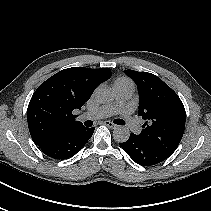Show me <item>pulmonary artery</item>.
Masks as SVG:
<instances>
[{"instance_id": "pulmonary-artery-1", "label": "pulmonary artery", "mask_w": 211, "mask_h": 211, "mask_svg": "<svg viewBox=\"0 0 211 211\" xmlns=\"http://www.w3.org/2000/svg\"><path fill=\"white\" fill-rule=\"evenodd\" d=\"M134 92V86H120L115 88L116 102L113 105L101 106L95 110L85 112L80 116V119H103L112 116L116 113H120L128 121L130 127L135 131L139 130V127L135 125L129 116V99Z\"/></svg>"}]
</instances>
